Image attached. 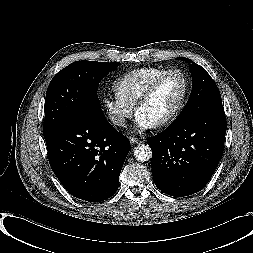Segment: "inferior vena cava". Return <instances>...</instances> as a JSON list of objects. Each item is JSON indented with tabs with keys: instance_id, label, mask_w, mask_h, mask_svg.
<instances>
[{
	"instance_id": "obj_1",
	"label": "inferior vena cava",
	"mask_w": 253,
	"mask_h": 253,
	"mask_svg": "<svg viewBox=\"0 0 253 253\" xmlns=\"http://www.w3.org/2000/svg\"><path fill=\"white\" fill-rule=\"evenodd\" d=\"M112 122L116 125L124 126L125 125V118L124 117H115V118H112Z\"/></svg>"
}]
</instances>
